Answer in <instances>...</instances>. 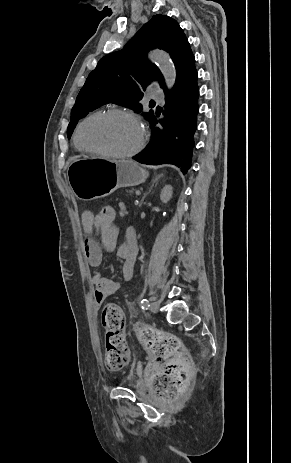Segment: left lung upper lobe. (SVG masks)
Here are the masks:
<instances>
[{
  "label": "left lung upper lobe",
  "instance_id": "obj_1",
  "mask_svg": "<svg viewBox=\"0 0 291 463\" xmlns=\"http://www.w3.org/2000/svg\"><path fill=\"white\" fill-rule=\"evenodd\" d=\"M154 48L169 53L176 68V82L195 69V57L179 24L171 17L155 15L122 50L101 58L88 75L71 111L68 138L78 120L104 104L114 103L141 112L142 90L153 80H158L167 91L159 68L147 59V52ZM153 114L143 113L148 120Z\"/></svg>",
  "mask_w": 291,
  "mask_h": 463
}]
</instances>
